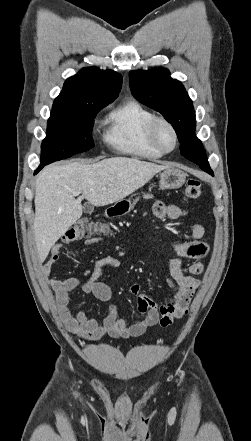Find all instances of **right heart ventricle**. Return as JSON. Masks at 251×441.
Masks as SVG:
<instances>
[{
	"label": "right heart ventricle",
	"instance_id": "e07e8e85",
	"mask_svg": "<svg viewBox=\"0 0 251 441\" xmlns=\"http://www.w3.org/2000/svg\"><path fill=\"white\" fill-rule=\"evenodd\" d=\"M155 114L135 99L114 107L106 119L105 142L120 154L145 159L163 156L148 140V126Z\"/></svg>",
	"mask_w": 251,
	"mask_h": 441
}]
</instances>
